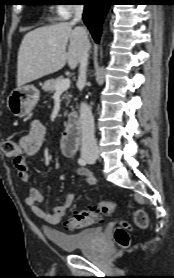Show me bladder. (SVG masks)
Returning a JSON list of instances; mask_svg holds the SVG:
<instances>
[{
	"label": "bladder",
	"instance_id": "obj_1",
	"mask_svg": "<svg viewBox=\"0 0 174 278\" xmlns=\"http://www.w3.org/2000/svg\"><path fill=\"white\" fill-rule=\"evenodd\" d=\"M102 234L100 227H92L81 230L77 233L68 234L51 230L47 232L48 238L53 244L63 251H74L86 247L97 241Z\"/></svg>",
	"mask_w": 174,
	"mask_h": 278
}]
</instances>
